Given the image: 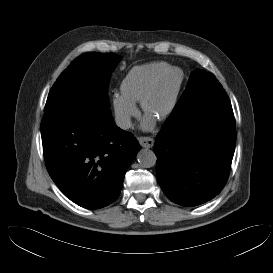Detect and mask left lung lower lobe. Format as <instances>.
Returning a JSON list of instances; mask_svg holds the SVG:
<instances>
[{"mask_svg":"<svg viewBox=\"0 0 273 273\" xmlns=\"http://www.w3.org/2000/svg\"><path fill=\"white\" fill-rule=\"evenodd\" d=\"M211 86L174 108L156 137L157 179L174 203L192 207L224 188L235 151L236 125L226 92Z\"/></svg>","mask_w":273,"mask_h":273,"instance_id":"1","label":"left lung lower lobe"}]
</instances>
